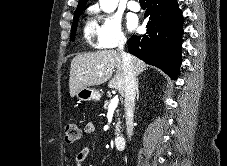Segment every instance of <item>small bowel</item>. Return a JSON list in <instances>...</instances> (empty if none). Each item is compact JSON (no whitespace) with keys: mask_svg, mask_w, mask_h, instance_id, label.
Returning <instances> with one entry per match:
<instances>
[{"mask_svg":"<svg viewBox=\"0 0 227 166\" xmlns=\"http://www.w3.org/2000/svg\"><path fill=\"white\" fill-rule=\"evenodd\" d=\"M95 125L93 123H88L85 126V132L87 134H92L95 132ZM91 148L90 147H85L83 148L75 157L77 166H81V163L87 158V156L90 154Z\"/></svg>","mask_w":227,"mask_h":166,"instance_id":"c3829d8e","label":"small bowel"}]
</instances>
